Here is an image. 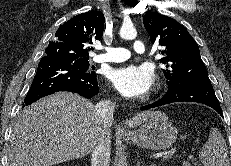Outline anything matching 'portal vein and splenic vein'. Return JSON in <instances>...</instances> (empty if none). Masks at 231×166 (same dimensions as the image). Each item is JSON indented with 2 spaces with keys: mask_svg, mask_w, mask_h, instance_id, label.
I'll list each match as a JSON object with an SVG mask.
<instances>
[{
  "mask_svg": "<svg viewBox=\"0 0 231 166\" xmlns=\"http://www.w3.org/2000/svg\"><path fill=\"white\" fill-rule=\"evenodd\" d=\"M175 154L174 150H169V151H165L163 152L160 156H162L163 158H167L169 156H173ZM159 157V156H157ZM184 166H190V163L188 161H184Z\"/></svg>",
  "mask_w": 231,
  "mask_h": 166,
  "instance_id": "18ae733b",
  "label": "portal vein and splenic vein"
}]
</instances>
